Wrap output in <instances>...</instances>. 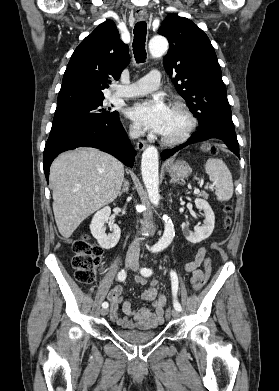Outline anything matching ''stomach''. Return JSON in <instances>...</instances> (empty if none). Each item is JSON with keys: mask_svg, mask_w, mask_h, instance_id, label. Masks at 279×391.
Returning a JSON list of instances; mask_svg holds the SVG:
<instances>
[{"mask_svg": "<svg viewBox=\"0 0 279 391\" xmlns=\"http://www.w3.org/2000/svg\"><path fill=\"white\" fill-rule=\"evenodd\" d=\"M169 173L171 176L177 178H186L191 173L190 166L185 161H176L170 168Z\"/></svg>", "mask_w": 279, "mask_h": 391, "instance_id": "stomach-1", "label": "stomach"}]
</instances>
